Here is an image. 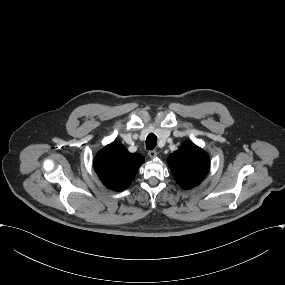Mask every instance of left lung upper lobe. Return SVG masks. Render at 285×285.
<instances>
[{
    "label": "left lung upper lobe",
    "mask_w": 285,
    "mask_h": 285,
    "mask_svg": "<svg viewBox=\"0 0 285 285\" xmlns=\"http://www.w3.org/2000/svg\"><path fill=\"white\" fill-rule=\"evenodd\" d=\"M168 165L177 183L184 189H191L206 176L210 159L203 149L186 143L169 156Z\"/></svg>",
    "instance_id": "1"
}]
</instances>
